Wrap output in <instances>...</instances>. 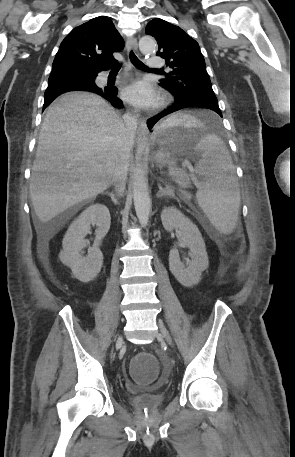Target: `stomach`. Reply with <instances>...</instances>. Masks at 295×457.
<instances>
[{
	"mask_svg": "<svg viewBox=\"0 0 295 457\" xmlns=\"http://www.w3.org/2000/svg\"><path fill=\"white\" fill-rule=\"evenodd\" d=\"M209 135L207 126L187 127L175 125L155 130L153 140L159 145V150L152 157V161L159 166L175 163L178 151L185 147H196Z\"/></svg>",
	"mask_w": 295,
	"mask_h": 457,
	"instance_id": "1",
	"label": "stomach"
}]
</instances>
